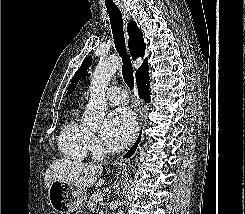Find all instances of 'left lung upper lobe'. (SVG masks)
<instances>
[{
	"instance_id": "left-lung-upper-lobe-1",
	"label": "left lung upper lobe",
	"mask_w": 245,
	"mask_h": 214,
	"mask_svg": "<svg viewBox=\"0 0 245 214\" xmlns=\"http://www.w3.org/2000/svg\"><path fill=\"white\" fill-rule=\"evenodd\" d=\"M92 64V57L88 56L84 59L82 62L81 67L78 69V71L74 74L71 84H69L68 91L66 94V97L73 92L75 89L76 84L79 82L80 78L85 77L87 75V68L91 66Z\"/></svg>"
}]
</instances>
